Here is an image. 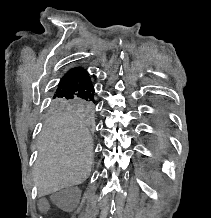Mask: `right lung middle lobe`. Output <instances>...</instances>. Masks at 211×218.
<instances>
[{"mask_svg": "<svg viewBox=\"0 0 211 218\" xmlns=\"http://www.w3.org/2000/svg\"><path fill=\"white\" fill-rule=\"evenodd\" d=\"M95 107V101L78 97H53L50 102L52 111H84L92 112Z\"/></svg>", "mask_w": 211, "mask_h": 218, "instance_id": "1", "label": "right lung middle lobe"}]
</instances>
